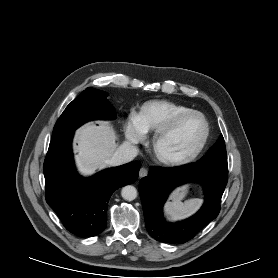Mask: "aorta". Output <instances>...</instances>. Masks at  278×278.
<instances>
[{"label":"aorta","mask_w":278,"mask_h":278,"mask_svg":"<svg viewBox=\"0 0 278 278\" xmlns=\"http://www.w3.org/2000/svg\"><path fill=\"white\" fill-rule=\"evenodd\" d=\"M121 195L123 199L132 201L137 197V189L132 185H127L122 188Z\"/></svg>","instance_id":"obj_1"}]
</instances>
